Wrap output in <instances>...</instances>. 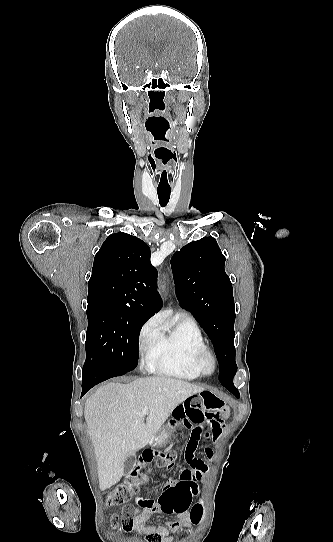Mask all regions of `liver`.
Instances as JSON below:
<instances>
[{
    "mask_svg": "<svg viewBox=\"0 0 333 542\" xmlns=\"http://www.w3.org/2000/svg\"><path fill=\"white\" fill-rule=\"evenodd\" d=\"M203 390L173 376H148L98 388L85 402L84 418L101 492L120 482L126 458L153 440L172 410Z\"/></svg>",
    "mask_w": 333,
    "mask_h": 542,
    "instance_id": "liver-1",
    "label": "liver"
}]
</instances>
